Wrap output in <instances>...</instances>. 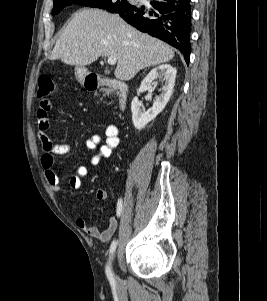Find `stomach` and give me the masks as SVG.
I'll use <instances>...</instances> for the list:
<instances>
[{
    "label": "stomach",
    "instance_id": "0dacf381",
    "mask_svg": "<svg viewBox=\"0 0 267 301\" xmlns=\"http://www.w3.org/2000/svg\"><path fill=\"white\" fill-rule=\"evenodd\" d=\"M83 72L84 70L81 68L76 69V76L78 77L79 81H83Z\"/></svg>",
    "mask_w": 267,
    "mask_h": 301
}]
</instances>
